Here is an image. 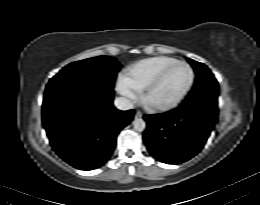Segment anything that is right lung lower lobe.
<instances>
[{
	"instance_id": "98d812e1",
	"label": "right lung lower lobe",
	"mask_w": 260,
	"mask_h": 205,
	"mask_svg": "<svg viewBox=\"0 0 260 205\" xmlns=\"http://www.w3.org/2000/svg\"><path fill=\"white\" fill-rule=\"evenodd\" d=\"M113 85L96 79H51L42 106L43 126L55 152L81 170L103 165L111 156L120 130L134 110L113 104Z\"/></svg>"
}]
</instances>
